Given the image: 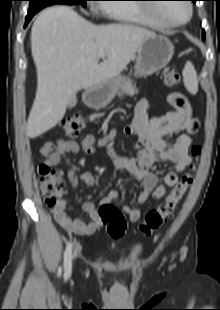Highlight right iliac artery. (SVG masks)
<instances>
[{"label": "right iliac artery", "instance_id": "right-iliac-artery-1", "mask_svg": "<svg viewBox=\"0 0 220 310\" xmlns=\"http://www.w3.org/2000/svg\"><path fill=\"white\" fill-rule=\"evenodd\" d=\"M72 243L69 242L66 245V249L64 252V270L65 275H69L71 272V266H72Z\"/></svg>", "mask_w": 220, "mask_h": 310}]
</instances>
